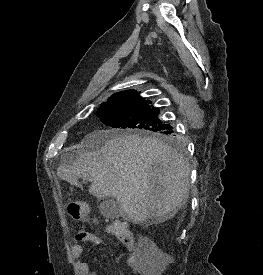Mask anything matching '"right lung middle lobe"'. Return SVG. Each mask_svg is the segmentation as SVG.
Returning <instances> with one entry per match:
<instances>
[{"mask_svg": "<svg viewBox=\"0 0 263 275\" xmlns=\"http://www.w3.org/2000/svg\"><path fill=\"white\" fill-rule=\"evenodd\" d=\"M149 100L129 97L125 94H114L97 110L100 120L111 127L120 129H135L140 133L156 134V138L179 146L180 141L173 133L166 132L169 124L159 118L160 110L150 106Z\"/></svg>", "mask_w": 263, "mask_h": 275, "instance_id": "dd1d6c3e", "label": "right lung middle lobe"}]
</instances>
